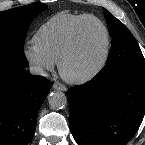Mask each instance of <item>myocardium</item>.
<instances>
[{"mask_svg":"<svg viewBox=\"0 0 145 145\" xmlns=\"http://www.w3.org/2000/svg\"><path fill=\"white\" fill-rule=\"evenodd\" d=\"M89 21H94L98 23L104 31L105 34L104 54L101 60L92 69L82 74L73 75L68 72L67 65L78 49L80 43V34L83 26ZM110 52H111V36L107 25L100 18L93 15H89L84 19H82L73 30L71 41L58 62L60 75L65 81L72 84L87 83L92 79H94L105 68L110 57Z\"/></svg>","mask_w":145,"mask_h":145,"instance_id":"obj_1","label":"myocardium"}]
</instances>
